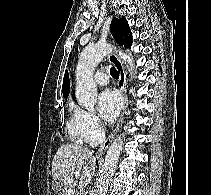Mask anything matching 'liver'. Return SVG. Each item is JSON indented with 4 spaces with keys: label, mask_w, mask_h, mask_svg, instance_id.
Instances as JSON below:
<instances>
[{
    "label": "liver",
    "mask_w": 211,
    "mask_h": 195,
    "mask_svg": "<svg viewBox=\"0 0 211 195\" xmlns=\"http://www.w3.org/2000/svg\"><path fill=\"white\" fill-rule=\"evenodd\" d=\"M96 158L93 151L76 144L61 145L52 162V177L62 185L60 195H74L75 172H79V189L85 188L93 178Z\"/></svg>",
    "instance_id": "liver-1"
}]
</instances>
